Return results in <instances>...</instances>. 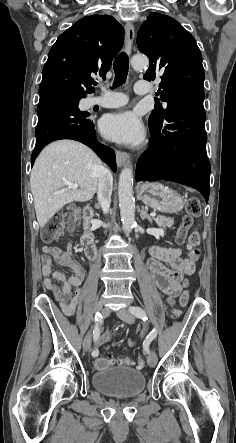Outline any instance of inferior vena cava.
Instances as JSON below:
<instances>
[{
	"instance_id": "602c4592",
	"label": "inferior vena cava",
	"mask_w": 236,
	"mask_h": 443,
	"mask_svg": "<svg viewBox=\"0 0 236 443\" xmlns=\"http://www.w3.org/2000/svg\"><path fill=\"white\" fill-rule=\"evenodd\" d=\"M113 178L110 170L102 166L99 169L97 198L104 214H107L111 204Z\"/></svg>"
}]
</instances>
